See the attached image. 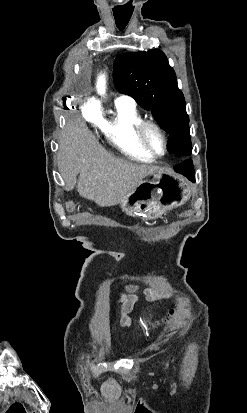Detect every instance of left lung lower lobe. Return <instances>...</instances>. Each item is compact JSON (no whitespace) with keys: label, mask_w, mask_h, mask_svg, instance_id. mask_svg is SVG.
<instances>
[{"label":"left lung lower lobe","mask_w":247,"mask_h":413,"mask_svg":"<svg viewBox=\"0 0 247 413\" xmlns=\"http://www.w3.org/2000/svg\"><path fill=\"white\" fill-rule=\"evenodd\" d=\"M174 170L186 176L190 181L195 182L194 167L190 159L185 160L183 163L175 166Z\"/></svg>","instance_id":"1"}]
</instances>
